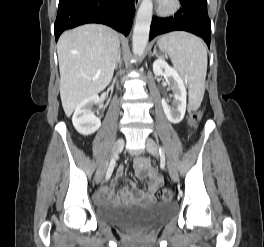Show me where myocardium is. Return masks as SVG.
Returning a JSON list of instances; mask_svg holds the SVG:
<instances>
[{"label":"myocardium","mask_w":264,"mask_h":247,"mask_svg":"<svg viewBox=\"0 0 264 247\" xmlns=\"http://www.w3.org/2000/svg\"><path fill=\"white\" fill-rule=\"evenodd\" d=\"M179 8V0H162L157 10L161 15H170L178 11Z\"/></svg>","instance_id":"obj_1"}]
</instances>
